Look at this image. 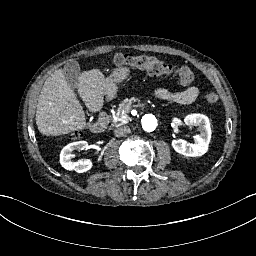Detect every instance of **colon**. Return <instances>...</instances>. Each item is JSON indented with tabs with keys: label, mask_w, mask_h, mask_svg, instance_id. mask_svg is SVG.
I'll return each instance as SVG.
<instances>
[{
	"label": "colon",
	"mask_w": 256,
	"mask_h": 256,
	"mask_svg": "<svg viewBox=\"0 0 256 256\" xmlns=\"http://www.w3.org/2000/svg\"><path fill=\"white\" fill-rule=\"evenodd\" d=\"M114 65L119 68L122 65H129L131 69L145 70L151 76H167L173 71L170 64L148 55L120 54L115 57ZM176 74L183 85L191 84L196 78L194 71L186 66L177 67ZM203 98L205 102L210 104H215L218 100L217 95L211 91L206 92ZM79 135V132L71 134L73 138H78Z\"/></svg>",
	"instance_id": "5ec220e1"
}]
</instances>
